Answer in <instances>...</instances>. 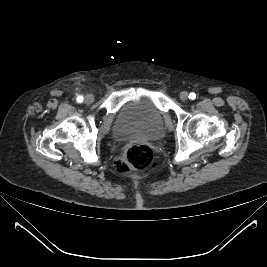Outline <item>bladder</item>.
<instances>
[{
	"instance_id": "obj_1",
	"label": "bladder",
	"mask_w": 267,
	"mask_h": 267,
	"mask_svg": "<svg viewBox=\"0 0 267 267\" xmlns=\"http://www.w3.org/2000/svg\"><path fill=\"white\" fill-rule=\"evenodd\" d=\"M112 133L118 139H157L164 133L163 114L149 95L129 100L120 108Z\"/></svg>"
}]
</instances>
